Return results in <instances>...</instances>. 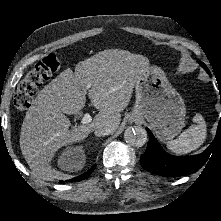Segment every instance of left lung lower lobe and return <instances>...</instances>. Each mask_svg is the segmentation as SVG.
<instances>
[{
	"instance_id": "left-lung-lower-lobe-1",
	"label": "left lung lower lobe",
	"mask_w": 221,
	"mask_h": 221,
	"mask_svg": "<svg viewBox=\"0 0 221 221\" xmlns=\"http://www.w3.org/2000/svg\"><path fill=\"white\" fill-rule=\"evenodd\" d=\"M147 132L149 142L145 153L140 157V163L152 174L165 177L184 176L198 171L207 162L213 150L221 146V118L214 141L204 152L195 156H172L163 150L149 129Z\"/></svg>"
}]
</instances>
